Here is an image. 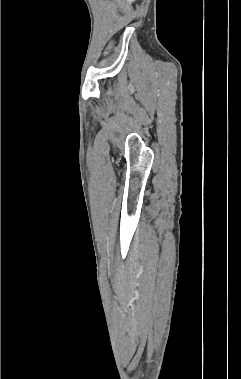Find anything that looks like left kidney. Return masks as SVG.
<instances>
[{
  "label": "left kidney",
  "mask_w": 241,
  "mask_h": 379,
  "mask_svg": "<svg viewBox=\"0 0 241 379\" xmlns=\"http://www.w3.org/2000/svg\"><path fill=\"white\" fill-rule=\"evenodd\" d=\"M129 3H131V2H133V1H135V0H127Z\"/></svg>",
  "instance_id": "obj_1"
}]
</instances>
